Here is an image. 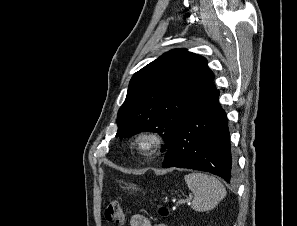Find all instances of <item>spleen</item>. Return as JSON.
Masks as SVG:
<instances>
[{"label":"spleen","instance_id":"3e777b00","mask_svg":"<svg viewBox=\"0 0 297 226\" xmlns=\"http://www.w3.org/2000/svg\"><path fill=\"white\" fill-rule=\"evenodd\" d=\"M185 182L195 197L191 207L195 211H208L226 196L224 185L214 176L193 172L185 175Z\"/></svg>","mask_w":297,"mask_h":226}]
</instances>
